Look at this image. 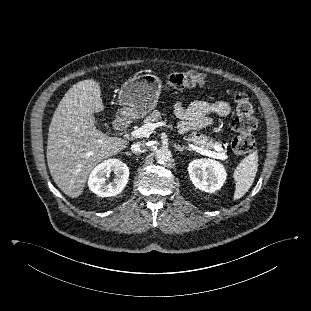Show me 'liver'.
Masks as SVG:
<instances>
[{
  "label": "liver",
  "mask_w": 311,
  "mask_h": 311,
  "mask_svg": "<svg viewBox=\"0 0 311 311\" xmlns=\"http://www.w3.org/2000/svg\"><path fill=\"white\" fill-rule=\"evenodd\" d=\"M103 110L100 84L88 79L73 85L53 114L47 163L54 182L69 197L80 196L95 165L129 143L96 128L94 113Z\"/></svg>",
  "instance_id": "1"
}]
</instances>
